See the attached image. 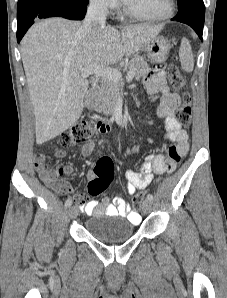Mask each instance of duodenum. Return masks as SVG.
<instances>
[{
    "label": "duodenum",
    "instance_id": "1",
    "mask_svg": "<svg viewBox=\"0 0 227 298\" xmlns=\"http://www.w3.org/2000/svg\"><path fill=\"white\" fill-rule=\"evenodd\" d=\"M96 103H97V91L95 89H91L86 95V99H85L86 107L89 109H93L96 106ZM96 126H97V129L102 133H106L110 130L109 124L105 121H98L96 123Z\"/></svg>",
    "mask_w": 227,
    "mask_h": 298
}]
</instances>
